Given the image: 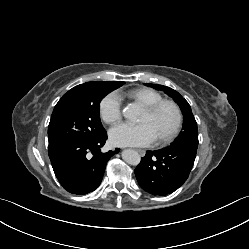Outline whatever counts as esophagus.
<instances>
[{"instance_id": "34e87169", "label": "esophagus", "mask_w": 249, "mask_h": 249, "mask_svg": "<svg viewBox=\"0 0 249 249\" xmlns=\"http://www.w3.org/2000/svg\"><path fill=\"white\" fill-rule=\"evenodd\" d=\"M137 152L141 155H144L145 154V151L144 150H141V149H138Z\"/></svg>"}]
</instances>
